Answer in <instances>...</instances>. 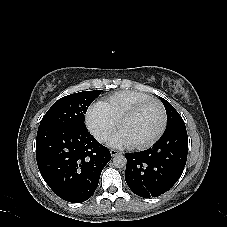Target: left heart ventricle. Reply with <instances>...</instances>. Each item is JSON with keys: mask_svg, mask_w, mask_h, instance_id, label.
Masks as SVG:
<instances>
[{"mask_svg": "<svg viewBox=\"0 0 227 227\" xmlns=\"http://www.w3.org/2000/svg\"><path fill=\"white\" fill-rule=\"evenodd\" d=\"M161 122V109L158 104L151 102L143 106L133 119L125 123L120 132L132 144H140L147 142L157 133Z\"/></svg>", "mask_w": 227, "mask_h": 227, "instance_id": "b2bd125f", "label": "left heart ventricle"}]
</instances>
